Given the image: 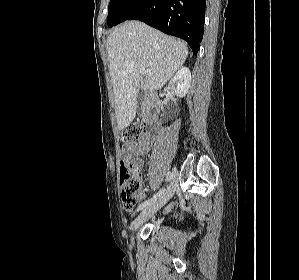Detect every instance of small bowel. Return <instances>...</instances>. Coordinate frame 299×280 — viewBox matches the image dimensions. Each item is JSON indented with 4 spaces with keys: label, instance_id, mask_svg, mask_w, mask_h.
I'll use <instances>...</instances> for the list:
<instances>
[{
    "label": "small bowel",
    "instance_id": "c3829d8e",
    "mask_svg": "<svg viewBox=\"0 0 299 280\" xmlns=\"http://www.w3.org/2000/svg\"><path fill=\"white\" fill-rule=\"evenodd\" d=\"M153 137L149 133H144L140 140L136 143L129 144L127 146L122 147V154L126 158H133V157H139L144 154H146L153 145ZM135 163L139 166V168L142 167L143 163L141 160L135 161ZM140 199L145 198L144 191H141L139 194ZM172 206H169L168 209H170Z\"/></svg>",
    "mask_w": 299,
    "mask_h": 280
}]
</instances>
